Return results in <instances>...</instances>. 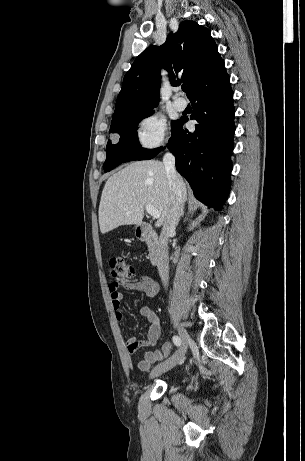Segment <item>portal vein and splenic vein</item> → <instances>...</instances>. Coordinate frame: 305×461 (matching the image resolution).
<instances>
[{"mask_svg":"<svg viewBox=\"0 0 305 461\" xmlns=\"http://www.w3.org/2000/svg\"><path fill=\"white\" fill-rule=\"evenodd\" d=\"M147 213L152 216L153 218H160V212L154 208L152 205H146Z\"/></svg>","mask_w":305,"mask_h":461,"instance_id":"1","label":"portal vein and splenic vein"}]
</instances>
